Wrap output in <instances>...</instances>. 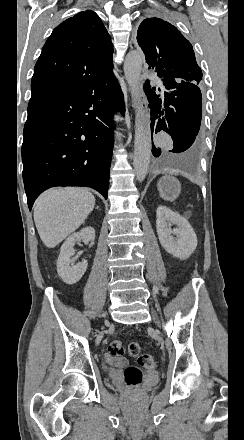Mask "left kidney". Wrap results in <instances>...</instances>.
Listing matches in <instances>:
<instances>
[{"label": "left kidney", "instance_id": "obj_1", "mask_svg": "<svg viewBox=\"0 0 244 440\" xmlns=\"http://www.w3.org/2000/svg\"><path fill=\"white\" fill-rule=\"evenodd\" d=\"M156 228L161 246L174 258L186 260L197 248V236L188 220L178 212H172L167 206H158L156 212ZM176 224L177 228H170ZM176 238H173V236Z\"/></svg>", "mask_w": 244, "mask_h": 440}]
</instances>
